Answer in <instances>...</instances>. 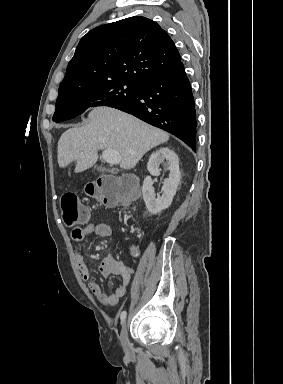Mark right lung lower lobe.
I'll list each match as a JSON object with an SVG mask.
<instances>
[{
    "mask_svg": "<svg viewBox=\"0 0 283 384\" xmlns=\"http://www.w3.org/2000/svg\"><path fill=\"white\" fill-rule=\"evenodd\" d=\"M161 128L196 150V110L184 67L140 85L136 98L111 106Z\"/></svg>",
    "mask_w": 283,
    "mask_h": 384,
    "instance_id": "1",
    "label": "right lung lower lobe"
}]
</instances>
